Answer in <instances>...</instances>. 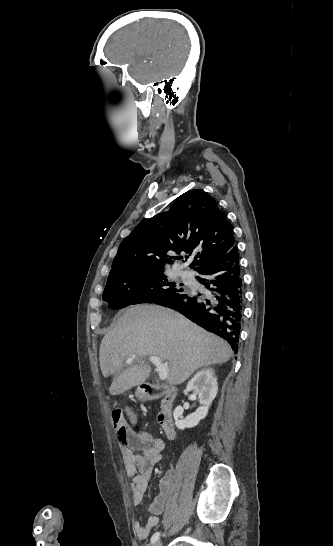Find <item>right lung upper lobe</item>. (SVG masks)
<instances>
[{
	"instance_id": "right-lung-upper-lobe-1",
	"label": "right lung upper lobe",
	"mask_w": 333,
	"mask_h": 546,
	"mask_svg": "<svg viewBox=\"0 0 333 546\" xmlns=\"http://www.w3.org/2000/svg\"><path fill=\"white\" fill-rule=\"evenodd\" d=\"M235 247L232 228L213 197L202 189L190 190L167 212L139 223L120 244L112 270H161L177 257L167 252L196 256L191 268L199 271L223 258ZM188 258V256H186Z\"/></svg>"
}]
</instances>
